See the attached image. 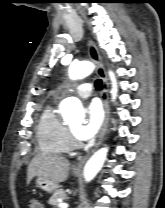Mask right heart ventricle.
Here are the masks:
<instances>
[{"label": "right heart ventricle", "instance_id": "right-heart-ventricle-1", "mask_svg": "<svg viewBox=\"0 0 165 208\" xmlns=\"http://www.w3.org/2000/svg\"><path fill=\"white\" fill-rule=\"evenodd\" d=\"M36 136L39 149L51 155L68 153L67 127L61 121L52 105H48L42 111L36 128Z\"/></svg>", "mask_w": 165, "mask_h": 208}]
</instances>
